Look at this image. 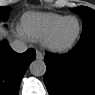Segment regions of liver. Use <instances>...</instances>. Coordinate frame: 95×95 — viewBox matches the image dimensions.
Wrapping results in <instances>:
<instances>
[{
  "mask_svg": "<svg viewBox=\"0 0 95 95\" xmlns=\"http://www.w3.org/2000/svg\"><path fill=\"white\" fill-rule=\"evenodd\" d=\"M7 35V32L4 30V29H2L1 30V37L3 38V37H5Z\"/></svg>",
  "mask_w": 95,
  "mask_h": 95,
  "instance_id": "1",
  "label": "liver"
}]
</instances>
